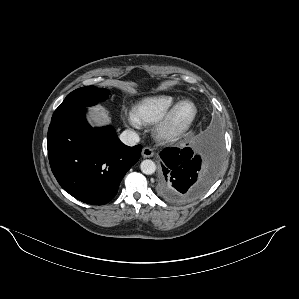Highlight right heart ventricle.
Wrapping results in <instances>:
<instances>
[{"mask_svg": "<svg viewBox=\"0 0 299 299\" xmlns=\"http://www.w3.org/2000/svg\"><path fill=\"white\" fill-rule=\"evenodd\" d=\"M176 103L170 95H155L142 99L133 108L135 117L143 124L158 122Z\"/></svg>", "mask_w": 299, "mask_h": 299, "instance_id": "1", "label": "right heart ventricle"}]
</instances>
